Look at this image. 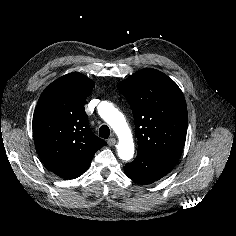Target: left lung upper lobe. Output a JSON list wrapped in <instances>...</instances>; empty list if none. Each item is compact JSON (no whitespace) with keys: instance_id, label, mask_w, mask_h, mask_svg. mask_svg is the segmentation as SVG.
I'll use <instances>...</instances> for the list:
<instances>
[{"instance_id":"left-lung-upper-lobe-1","label":"left lung upper lobe","mask_w":236,"mask_h":236,"mask_svg":"<svg viewBox=\"0 0 236 236\" xmlns=\"http://www.w3.org/2000/svg\"><path fill=\"white\" fill-rule=\"evenodd\" d=\"M117 87L133 111L137 152L177 163L188 124L185 98L178 85L164 73L145 68Z\"/></svg>"}]
</instances>
